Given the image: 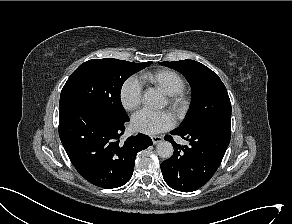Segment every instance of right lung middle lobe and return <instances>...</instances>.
<instances>
[{"label":"right lung middle lobe","instance_id":"obj_1","mask_svg":"<svg viewBox=\"0 0 292 224\" xmlns=\"http://www.w3.org/2000/svg\"><path fill=\"white\" fill-rule=\"evenodd\" d=\"M152 62L134 63L118 59H93L81 64L68 78L60 105L79 102L110 118L127 114L121 104L120 92L125 80Z\"/></svg>","mask_w":292,"mask_h":224}]
</instances>
